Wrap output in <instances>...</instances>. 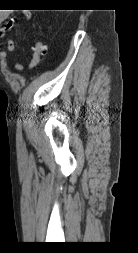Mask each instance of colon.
I'll return each mask as SVG.
<instances>
[{"label":"colon","mask_w":138,"mask_h":253,"mask_svg":"<svg viewBox=\"0 0 138 253\" xmlns=\"http://www.w3.org/2000/svg\"><path fill=\"white\" fill-rule=\"evenodd\" d=\"M45 53V45L38 41L35 43L33 47V55H32V61H31V66H36L41 62L43 59V55Z\"/></svg>","instance_id":"obj_1"}]
</instances>
